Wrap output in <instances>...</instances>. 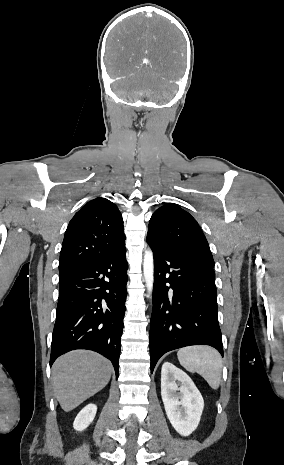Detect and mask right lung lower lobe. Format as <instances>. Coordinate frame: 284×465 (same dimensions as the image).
<instances>
[{"mask_svg":"<svg viewBox=\"0 0 284 465\" xmlns=\"http://www.w3.org/2000/svg\"><path fill=\"white\" fill-rule=\"evenodd\" d=\"M125 245L98 262L59 278L50 366L75 349L108 358L119 375L123 317L128 280Z\"/></svg>","mask_w":284,"mask_h":465,"instance_id":"98d812e1","label":"right lung lower lobe"}]
</instances>
